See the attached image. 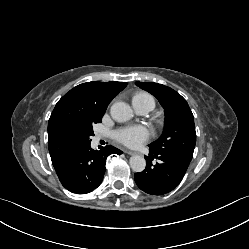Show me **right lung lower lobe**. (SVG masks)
Segmentation results:
<instances>
[{
	"label": "right lung lower lobe",
	"mask_w": 249,
	"mask_h": 249,
	"mask_svg": "<svg viewBox=\"0 0 249 249\" xmlns=\"http://www.w3.org/2000/svg\"><path fill=\"white\" fill-rule=\"evenodd\" d=\"M123 152L113 146L95 151L90 144L81 146L63 162L54 167L62 185L77 194H86L97 188L105 173L106 159L110 154Z\"/></svg>",
	"instance_id": "obj_1"
}]
</instances>
